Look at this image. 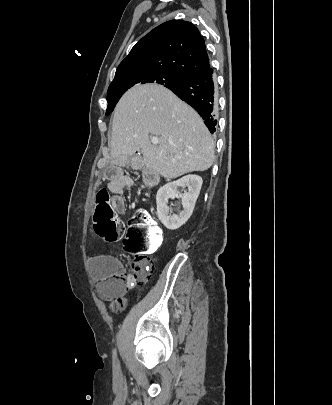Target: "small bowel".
<instances>
[{"instance_id": "small-bowel-1", "label": "small bowel", "mask_w": 332, "mask_h": 405, "mask_svg": "<svg viewBox=\"0 0 332 405\" xmlns=\"http://www.w3.org/2000/svg\"><path fill=\"white\" fill-rule=\"evenodd\" d=\"M111 167L103 169V176L120 177L119 180L108 179L109 188L113 192L111 196L112 210L115 211L116 215H126L128 211L125 206L126 196L122 190L129 186L130 178L125 176V168H119L118 163H113ZM88 260L93 274L101 280L122 269L119 260L112 255H92L89 256Z\"/></svg>"}]
</instances>
